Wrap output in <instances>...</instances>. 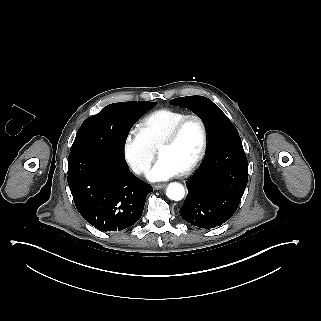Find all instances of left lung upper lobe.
Wrapping results in <instances>:
<instances>
[{"instance_id":"1","label":"left lung upper lobe","mask_w":321,"mask_h":321,"mask_svg":"<svg viewBox=\"0 0 321 321\" xmlns=\"http://www.w3.org/2000/svg\"><path fill=\"white\" fill-rule=\"evenodd\" d=\"M170 104L186 107L201 118L208 131L207 149L223 139L239 136L237 129L228 117L216 104L206 97H180L172 99Z\"/></svg>"}]
</instances>
